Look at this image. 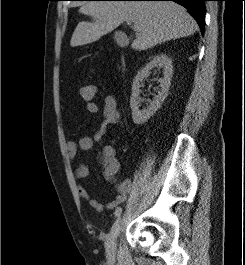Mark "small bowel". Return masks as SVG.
Returning <instances> with one entry per match:
<instances>
[{"label":"small bowel","mask_w":245,"mask_h":265,"mask_svg":"<svg viewBox=\"0 0 245 265\" xmlns=\"http://www.w3.org/2000/svg\"><path fill=\"white\" fill-rule=\"evenodd\" d=\"M86 110L91 114H96L99 112V107L95 102L92 101L86 103ZM102 117L103 120L93 135L83 136L77 143L73 141L66 142L65 146L67 156L70 161H73L76 158L79 150L82 152L92 151L95 143L101 141L106 135L108 128L119 121L120 111L118 108L117 100L113 95H106L102 109ZM100 162L102 165L104 177L107 180L113 181L115 183L117 191L115 198L112 201L103 204L98 200L92 198L88 190L84 186H78L79 196L82 199L86 200L93 209L99 212L105 209H114L119 207V205L127 200L128 195L134 188L133 182L129 178H126L120 182H115V176L119 171L120 164L116 157L115 149L112 146L108 145L103 147L100 153ZM88 175L89 168L87 164L81 162L75 169V177L78 179H84Z\"/></svg>","instance_id":"small-bowel-1"}]
</instances>
